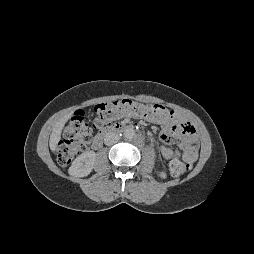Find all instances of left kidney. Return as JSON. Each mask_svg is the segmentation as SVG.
Wrapping results in <instances>:
<instances>
[{
    "instance_id": "5707ae66",
    "label": "left kidney",
    "mask_w": 254,
    "mask_h": 254,
    "mask_svg": "<svg viewBox=\"0 0 254 254\" xmlns=\"http://www.w3.org/2000/svg\"><path fill=\"white\" fill-rule=\"evenodd\" d=\"M160 177L165 179V178L167 177V175H166L165 172H161V173H160Z\"/></svg>"
}]
</instances>
